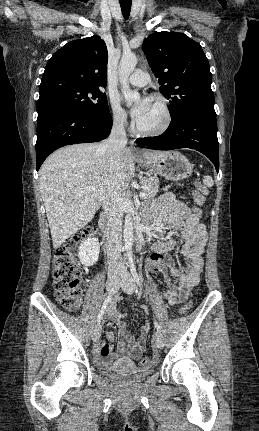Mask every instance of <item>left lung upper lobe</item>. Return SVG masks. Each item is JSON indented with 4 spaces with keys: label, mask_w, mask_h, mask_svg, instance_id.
Instances as JSON below:
<instances>
[{
    "label": "left lung upper lobe",
    "mask_w": 259,
    "mask_h": 431,
    "mask_svg": "<svg viewBox=\"0 0 259 431\" xmlns=\"http://www.w3.org/2000/svg\"><path fill=\"white\" fill-rule=\"evenodd\" d=\"M148 63L170 100L171 118L188 111L216 115L210 66L201 45L178 32H154L143 42Z\"/></svg>",
    "instance_id": "left-lung-upper-lobe-1"
}]
</instances>
